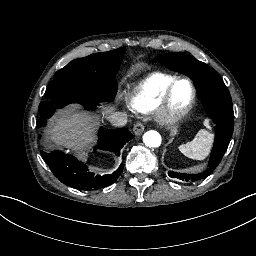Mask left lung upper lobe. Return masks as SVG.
Segmentation results:
<instances>
[{"label":"left lung upper lobe","mask_w":256,"mask_h":256,"mask_svg":"<svg viewBox=\"0 0 256 256\" xmlns=\"http://www.w3.org/2000/svg\"><path fill=\"white\" fill-rule=\"evenodd\" d=\"M155 61L162 62L171 70L179 71L194 81L198 97L216 124L215 142L208 168L201 174H188L198 175L199 179H203L210 175L222 160L233 133L234 114L229 92L211 67L185 53L159 55Z\"/></svg>","instance_id":"left-lung-upper-lobe-1"}]
</instances>
